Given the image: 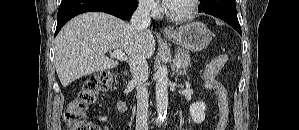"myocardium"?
<instances>
[{"mask_svg":"<svg viewBox=\"0 0 299 130\" xmlns=\"http://www.w3.org/2000/svg\"><path fill=\"white\" fill-rule=\"evenodd\" d=\"M199 2L198 0H189L187 8L178 13L173 11L172 5L166 6V15L174 21H185L196 13Z\"/></svg>","mask_w":299,"mask_h":130,"instance_id":"f54148a6","label":"myocardium"}]
</instances>
